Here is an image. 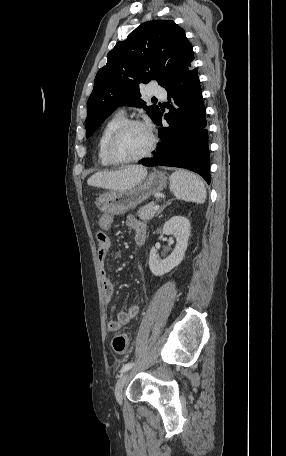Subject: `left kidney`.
Segmentation results:
<instances>
[{
  "label": "left kidney",
  "mask_w": 286,
  "mask_h": 456,
  "mask_svg": "<svg viewBox=\"0 0 286 456\" xmlns=\"http://www.w3.org/2000/svg\"><path fill=\"white\" fill-rule=\"evenodd\" d=\"M163 234L173 235L176 238V246L172 253L165 259H161L155 247H152L149 255V267L155 276H161L178 266L185 255L190 236V222L183 216H174L163 226Z\"/></svg>",
  "instance_id": "1"
}]
</instances>
